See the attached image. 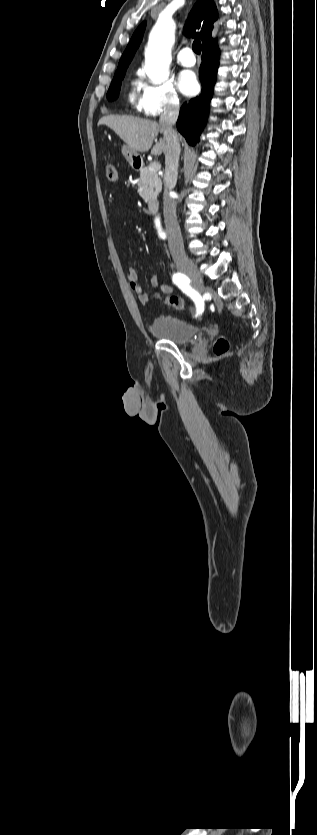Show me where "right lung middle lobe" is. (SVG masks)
Here are the masks:
<instances>
[{
  "mask_svg": "<svg viewBox=\"0 0 317 835\" xmlns=\"http://www.w3.org/2000/svg\"><path fill=\"white\" fill-rule=\"evenodd\" d=\"M127 67L120 68L116 71L110 88L107 92V98L110 101L117 99L120 91L121 80L124 78Z\"/></svg>",
  "mask_w": 317,
  "mask_h": 835,
  "instance_id": "1",
  "label": "right lung middle lobe"
}]
</instances>
